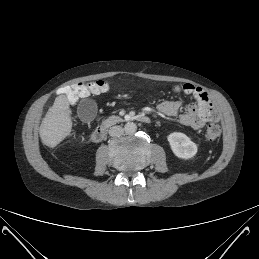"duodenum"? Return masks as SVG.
Instances as JSON below:
<instances>
[{"instance_id":"duodenum-1","label":"duodenum","mask_w":259,"mask_h":259,"mask_svg":"<svg viewBox=\"0 0 259 259\" xmlns=\"http://www.w3.org/2000/svg\"><path fill=\"white\" fill-rule=\"evenodd\" d=\"M138 121L141 123H144V124H149L151 122V119L146 115H140L138 117ZM107 131H108L107 124L100 125L93 131V133L91 135V139L94 142H100L105 138Z\"/></svg>"}]
</instances>
